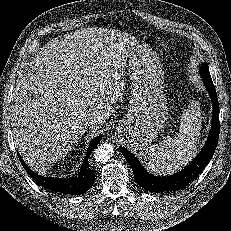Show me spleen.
I'll list each match as a JSON object with an SVG mask.
<instances>
[{
  "label": "spleen",
  "mask_w": 231,
  "mask_h": 231,
  "mask_svg": "<svg viewBox=\"0 0 231 231\" xmlns=\"http://www.w3.org/2000/svg\"><path fill=\"white\" fill-rule=\"evenodd\" d=\"M200 105L191 102L181 116L179 132L165 136L159 144L141 149L140 157L146 168L154 173H173L186 165L197 150L202 120Z\"/></svg>",
  "instance_id": "3e777b00"
}]
</instances>
